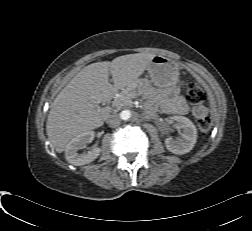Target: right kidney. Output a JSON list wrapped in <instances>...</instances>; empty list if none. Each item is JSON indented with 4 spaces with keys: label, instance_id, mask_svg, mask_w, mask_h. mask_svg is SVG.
<instances>
[{
    "label": "right kidney",
    "instance_id": "ca27d5eb",
    "mask_svg": "<svg viewBox=\"0 0 252 231\" xmlns=\"http://www.w3.org/2000/svg\"><path fill=\"white\" fill-rule=\"evenodd\" d=\"M93 139V131H86L74 137L65 148L67 162L75 166H81L94 161L100 155V148L96 147L90 151L81 154L78 153L79 150L84 149Z\"/></svg>",
    "mask_w": 252,
    "mask_h": 231
}]
</instances>
